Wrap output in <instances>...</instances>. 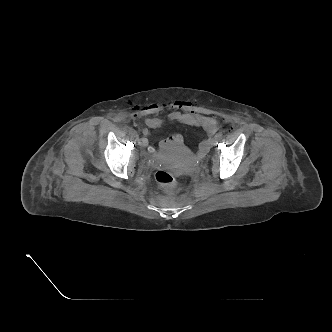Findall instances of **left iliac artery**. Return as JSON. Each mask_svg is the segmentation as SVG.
<instances>
[{
	"mask_svg": "<svg viewBox=\"0 0 332 332\" xmlns=\"http://www.w3.org/2000/svg\"><path fill=\"white\" fill-rule=\"evenodd\" d=\"M222 136H223V133H222V132H219V133L216 135V137H218L219 139H221Z\"/></svg>",
	"mask_w": 332,
	"mask_h": 332,
	"instance_id": "obj_1",
	"label": "left iliac artery"
}]
</instances>
